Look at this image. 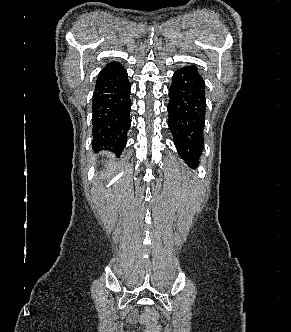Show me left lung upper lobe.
<instances>
[{
	"instance_id": "left-lung-upper-lobe-1",
	"label": "left lung upper lobe",
	"mask_w": 291,
	"mask_h": 332,
	"mask_svg": "<svg viewBox=\"0 0 291 332\" xmlns=\"http://www.w3.org/2000/svg\"><path fill=\"white\" fill-rule=\"evenodd\" d=\"M180 146L182 147V149H184L185 151H192V146L187 143V142H183L180 144Z\"/></svg>"
}]
</instances>
